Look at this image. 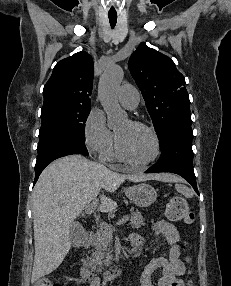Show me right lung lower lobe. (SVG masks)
<instances>
[{
    "label": "right lung lower lobe",
    "instance_id": "1",
    "mask_svg": "<svg viewBox=\"0 0 231 286\" xmlns=\"http://www.w3.org/2000/svg\"><path fill=\"white\" fill-rule=\"evenodd\" d=\"M71 154H83L87 156L88 151L85 146V142L76 139L62 138L51 141L42 147H39L38 157L35 165L34 184L36 183L43 169L48 164L57 158Z\"/></svg>",
    "mask_w": 231,
    "mask_h": 286
}]
</instances>
